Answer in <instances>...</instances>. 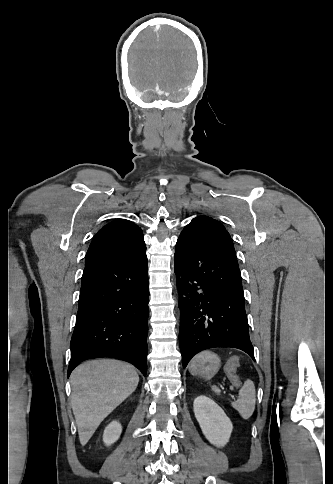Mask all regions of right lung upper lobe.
I'll return each instance as SVG.
<instances>
[{
  "label": "right lung upper lobe",
  "instance_id": "1",
  "mask_svg": "<svg viewBox=\"0 0 333 484\" xmlns=\"http://www.w3.org/2000/svg\"><path fill=\"white\" fill-rule=\"evenodd\" d=\"M145 248L141 228L129 220L117 219L93 237L85 263L124 259Z\"/></svg>",
  "mask_w": 333,
  "mask_h": 484
}]
</instances>
